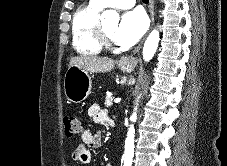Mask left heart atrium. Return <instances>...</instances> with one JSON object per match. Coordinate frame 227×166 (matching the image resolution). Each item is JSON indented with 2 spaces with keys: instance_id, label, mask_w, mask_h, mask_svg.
<instances>
[{
  "instance_id": "obj_1",
  "label": "left heart atrium",
  "mask_w": 227,
  "mask_h": 166,
  "mask_svg": "<svg viewBox=\"0 0 227 166\" xmlns=\"http://www.w3.org/2000/svg\"><path fill=\"white\" fill-rule=\"evenodd\" d=\"M148 19L140 9L122 15L114 32V39L122 45L134 44L146 31Z\"/></svg>"
}]
</instances>
